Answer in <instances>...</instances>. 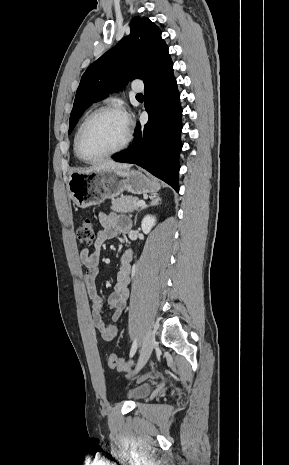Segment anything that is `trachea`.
<instances>
[{"label": "trachea", "mask_w": 289, "mask_h": 465, "mask_svg": "<svg viewBox=\"0 0 289 465\" xmlns=\"http://www.w3.org/2000/svg\"><path fill=\"white\" fill-rule=\"evenodd\" d=\"M136 96L137 97H143V95L141 93H138Z\"/></svg>", "instance_id": "3493384b"}]
</instances>
